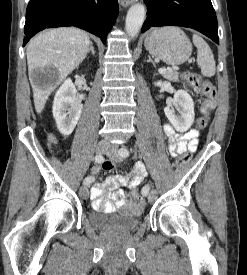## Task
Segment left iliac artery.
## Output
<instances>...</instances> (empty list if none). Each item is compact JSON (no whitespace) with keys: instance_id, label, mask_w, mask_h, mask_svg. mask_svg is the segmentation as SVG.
Segmentation results:
<instances>
[{"instance_id":"obj_1","label":"left iliac artery","mask_w":247,"mask_h":275,"mask_svg":"<svg viewBox=\"0 0 247 275\" xmlns=\"http://www.w3.org/2000/svg\"><path fill=\"white\" fill-rule=\"evenodd\" d=\"M119 155L121 157H124V158L128 157L129 156V150L127 148H121L119 150ZM142 190H144L145 193H149V190H150L149 184L145 185Z\"/></svg>"}]
</instances>
